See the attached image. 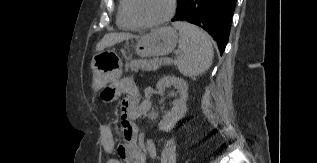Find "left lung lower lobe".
Instances as JSON below:
<instances>
[{
    "instance_id": "0a47b994",
    "label": "left lung lower lobe",
    "mask_w": 317,
    "mask_h": 163,
    "mask_svg": "<svg viewBox=\"0 0 317 163\" xmlns=\"http://www.w3.org/2000/svg\"><path fill=\"white\" fill-rule=\"evenodd\" d=\"M236 0H178L172 21H187L206 30L224 52Z\"/></svg>"
}]
</instances>
